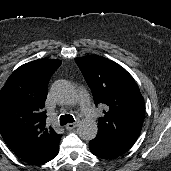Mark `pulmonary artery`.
<instances>
[{
  "label": "pulmonary artery",
  "instance_id": "obj_1",
  "mask_svg": "<svg viewBox=\"0 0 171 171\" xmlns=\"http://www.w3.org/2000/svg\"><path fill=\"white\" fill-rule=\"evenodd\" d=\"M79 100L81 103L83 114L88 119H93L97 116V111L91 106L89 98L86 93L80 92Z\"/></svg>",
  "mask_w": 171,
  "mask_h": 171
}]
</instances>
